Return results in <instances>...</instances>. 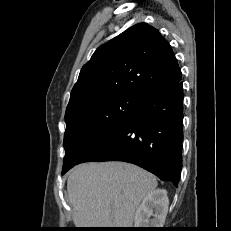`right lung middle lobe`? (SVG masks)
Masks as SVG:
<instances>
[{
	"instance_id": "dd1d6c3e",
	"label": "right lung middle lobe",
	"mask_w": 231,
	"mask_h": 231,
	"mask_svg": "<svg viewBox=\"0 0 231 231\" xmlns=\"http://www.w3.org/2000/svg\"><path fill=\"white\" fill-rule=\"evenodd\" d=\"M137 105V96L118 95L67 113L62 172L116 131L136 112Z\"/></svg>"
}]
</instances>
